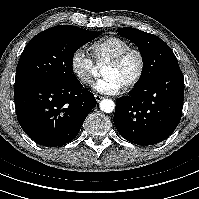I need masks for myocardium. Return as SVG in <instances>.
<instances>
[{
  "label": "myocardium",
  "instance_id": "1",
  "mask_svg": "<svg viewBox=\"0 0 199 199\" xmlns=\"http://www.w3.org/2000/svg\"><path fill=\"white\" fill-rule=\"evenodd\" d=\"M130 55L137 56L139 66L135 75L123 85L125 89H131L141 81L146 69V58L144 53L139 48L130 47L111 60L107 65L113 68L120 67Z\"/></svg>",
  "mask_w": 199,
  "mask_h": 199
}]
</instances>
